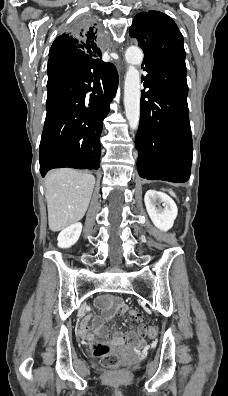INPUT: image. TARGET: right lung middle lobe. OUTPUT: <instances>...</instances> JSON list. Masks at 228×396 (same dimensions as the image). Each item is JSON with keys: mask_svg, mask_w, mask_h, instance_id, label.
Returning <instances> with one entry per match:
<instances>
[{"mask_svg": "<svg viewBox=\"0 0 228 396\" xmlns=\"http://www.w3.org/2000/svg\"><path fill=\"white\" fill-rule=\"evenodd\" d=\"M88 21L86 19L80 20L76 23V27L81 28V27H86L88 26ZM63 73V70H51L48 71V82L47 85L51 84L53 81H55L61 74Z\"/></svg>", "mask_w": 228, "mask_h": 396, "instance_id": "1", "label": "right lung middle lobe"}]
</instances>
